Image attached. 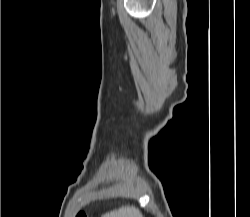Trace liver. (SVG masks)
Returning <instances> with one entry per match:
<instances>
[{
	"instance_id": "1",
	"label": "liver",
	"mask_w": 250,
	"mask_h": 217,
	"mask_svg": "<svg viewBox=\"0 0 250 217\" xmlns=\"http://www.w3.org/2000/svg\"><path fill=\"white\" fill-rule=\"evenodd\" d=\"M102 217H143L142 213L135 206H122L119 209L107 212Z\"/></svg>"
}]
</instances>
